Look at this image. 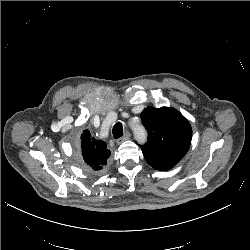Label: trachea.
<instances>
[{
  "label": "trachea",
  "instance_id": "obj_1",
  "mask_svg": "<svg viewBox=\"0 0 250 250\" xmlns=\"http://www.w3.org/2000/svg\"><path fill=\"white\" fill-rule=\"evenodd\" d=\"M113 137L118 139L123 136V127L121 123H116L112 129Z\"/></svg>",
  "mask_w": 250,
  "mask_h": 250
}]
</instances>
